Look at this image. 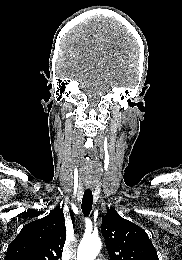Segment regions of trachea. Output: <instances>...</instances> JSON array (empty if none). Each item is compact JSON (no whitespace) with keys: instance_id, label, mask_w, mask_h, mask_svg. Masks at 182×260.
I'll use <instances>...</instances> for the list:
<instances>
[{"instance_id":"1","label":"trachea","mask_w":182,"mask_h":260,"mask_svg":"<svg viewBox=\"0 0 182 260\" xmlns=\"http://www.w3.org/2000/svg\"><path fill=\"white\" fill-rule=\"evenodd\" d=\"M93 195L91 190H85L82 199V212L84 216H88L92 210Z\"/></svg>"}]
</instances>
